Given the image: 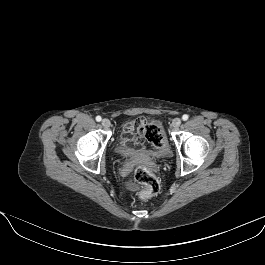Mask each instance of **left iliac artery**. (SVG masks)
Masks as SVG:
<instances>
[{
    "label": "left iliac artery",
    "instance_id": "44dca946",
    "mask_svg": "<svg viewBox=\"0 0 265 265\" xmlns=\"http://www.w3.org/2000/svg\"><path fill=\"white\" fill-rule=\"evenodd\" d=\"M188 118H189V116H188L187 114H184V115L182 116L183 121H187Z\"/></svg>",
    "mask_w": 265,
    "mask_h": 265
}]
</instances>
